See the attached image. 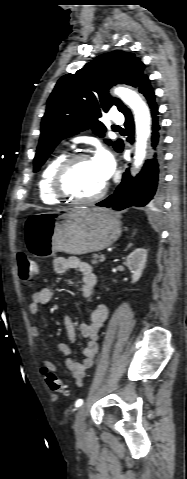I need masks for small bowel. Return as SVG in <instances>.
Segmentation results:
<instances>
[{
    "label": "small bowel",
    "mask_w": 187,
    "mask_h": 479,
    "mask_svg": "<svg viewBox=\"0 0 187 479\" xmlns=\"http://www.w3.org/2000/svg\"><path fill=\"white\" fill-rule=\"evenodd\" d=\"M53 267L56 273L64 274L69 270H78L81 279L78 285V293L82 298H89L96 286L97 278L91 265L82 261L78 257H58L53 261ZM53 298L51 288H43L32 295L31 302L28 305V311L31 315L37 316L40 313V306L49 303ZM109 315V309L106 304L100 303L92 311L87 321L81 324L80 334L86 340V344L80 348L83 360L78 361L72 357L73 347L77 345V333L73 319L66 315L64 317V327L67 334V342H60L56 345L57 350L65 356V366L77 386L81 387L88 370L93 366L98 353L99 331L106 322ZM33 340L39 344L41 342V331L38 326L31 328ZM43 367L41 374L44 377L47 372H56V367L44 353Z\"/></svg>",
    "instance_id": "small-bowel-1"
}]
</instances>
